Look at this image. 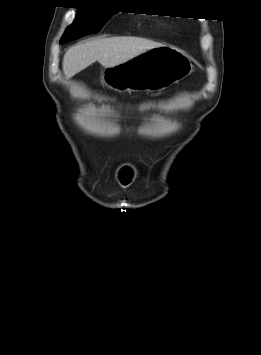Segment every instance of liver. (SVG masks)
Returning a JSON list of instances; mask_svg holds the SVG:
<instances>
[{
    "instance_id": "1",
    "label": "liver",
    "mask_w": 261,
    "mask_h": 355,
    "mask_svg": "<svg viewBox=\"0 0 261 355\" xmlns=\"http://www.w3.org/2000/svg\"><path fill=\"white\" fill-rule=\"evenodd\" d=\"M162 44L140 37H112L95 39L69 48L63 58V72L67 79L98 61L110 68Z\"/></svg>"
}]
</instances>
